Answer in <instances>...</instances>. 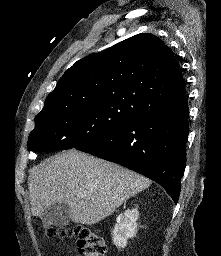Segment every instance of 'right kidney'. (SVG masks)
<instances>
[{
    "label": "right kidney",
    "mask_w": 221,
    "mask_h": 256,
    "mask_svg": "<svg viewBox=\"0 0 221 256\" xmlns=\"http://www.w3.org/2000/svg\"><path fill=\"white\" fill-rule=\"evenodd\" d=\"M139 217L138 208L128 209L116 218V224L113 229V242L119 248H124L130 238L136 236L137 220Z\"/></svg>",
    "instance_id": "1"
}]
</instances>
